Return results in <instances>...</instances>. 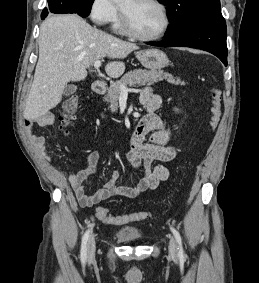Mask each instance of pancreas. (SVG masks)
Masks as SVG:
<instances>
[{
  "label": "pancreas",
  "mask_w": 259,
  "mask_h": 283,
  "mask_svg": "<svg viewBox=\"0 0 259 283\" xmlns=\"http://www.w3.org/2000/svg\"><path fill=\"white\" fill-rule=\"evenodd\" d=\"M163 79L167 82L175 85H185L184 81H181L178 77H173L169 73L155 70H142L137 69L126 73L119 81H116L108 88V93L104 97V101L110 103V110L112 113L117 112L118 99L121 95L120 85L134 86V85H153Z\"/></svg>",
  "instance_id": "obj_1"
}]
</instances>
